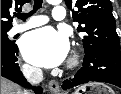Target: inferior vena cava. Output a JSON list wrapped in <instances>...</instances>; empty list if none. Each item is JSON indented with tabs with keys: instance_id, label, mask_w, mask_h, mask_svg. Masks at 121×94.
<instances>
[{
	"instance_id": "obj_1",
	"label": "inferior vena cava",
	"mask_w": 121,
	"mask_h": 94,
	"mask_svg": "<svg viewBox=\"0 0 121 94\" xmlns=\"http://www.w3.org/2000/svg\"><path fill=\"white\" fill-rule=\"evenodd\" d=\"M22 72L28 82L32 85H37L43 80V72L40 68L24 65L22 67ZM24 94H30V92L26 90L24 91Z\"/></svg>"
}]
</instances>
